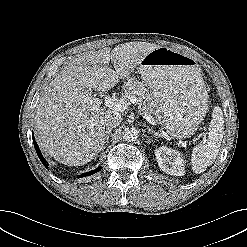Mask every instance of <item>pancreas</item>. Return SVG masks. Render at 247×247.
<instances>
[{
	"instance_id": "pancreas-1",
	"label": "pancreas",
	"mask_w": 247,
	"mask_h": 247,
	"mask_svg": "<svg viewBox=\"0 0 247 247\" xmlns=\"http://www.w3.org/2000/svg\"><path fill=\"white\" fill-rule=\"evenodd\" d=\"M123 98L135 96L139 105V110L142 114H156L157 105L153 95L145 87L142 82L132 79L129 80L124 86Z\"/></svg>"
}]
</instances>
